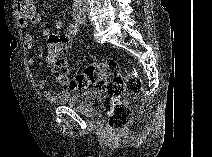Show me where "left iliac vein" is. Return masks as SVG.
Instances as JSON below:
<instances>
[{"instance_id":"4c4485c4","label":"left iliac vein","mask_w":212,"mask_h":157,"mask_svg":"<svg viewBox=\"0 0 212 157\" xmlns=\"http://www.w3.org/2000/svg\"><path fill=\"white\" fill-rule=\"evenodd\" d=\"M81 23H85V20H84V21H82Z\"/></svg>"}]
</instances>
